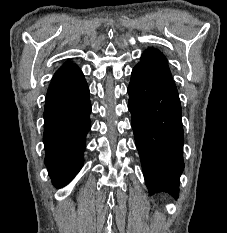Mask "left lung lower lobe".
Wrapping results in <instances>:
<instances>
[{"label": "left lung lower lobe", "instance_id": "obj_1", "mask_svg": "<svg viewBox=\"0 0 227 233\" xmlns=\"http://www.w3.org/2000/svg\"><path fill=\"white\" fill-rule=\"evenodd\" d=\"M128 94V109L148 190L178 198L184 169V134L176 85L170 77L135 66Z\"/></svg>", "mask_w": 227, "mask_h": 233}]
</instances>
